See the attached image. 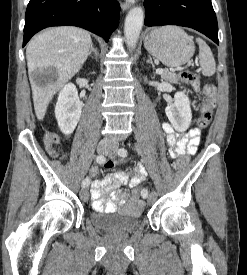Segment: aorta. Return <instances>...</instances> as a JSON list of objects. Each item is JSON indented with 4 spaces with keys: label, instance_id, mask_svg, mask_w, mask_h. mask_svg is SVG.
<instances>
[{
    "label": "aorta",
    "instance_id": "obj_1",
    "mask_svg": "<svg viewBox=\"0 0 247 275\" xmlns=\"http://www.w3.org/2000/svg\"><path fill=\"white\" fill-rule=\"evenodd\" d=\"M144 22V12L140 7L132 8L126 16L124 34L127 47L135 49Z\"/></svg>",
    "mask_w": 247,
    "mask_h": 275
}]
</instances>
